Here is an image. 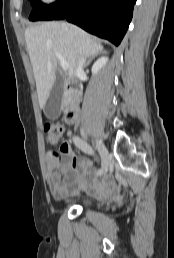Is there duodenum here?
Returning a JSON list of instances; mask_svg holds the SVG:
<instances>
[{
  "instance_id": "410a0bca",
  "label": "duodenum",
  "mask_w": 174,
  "mask_h": 258,
  "mask_svg": "<svg viewBox=\"0 0 174 258\" xmlns=\"http://www.w3.org/2000/svg\"><path fill=\"white\" fill-rule=\"evenodd\" d=\"M66 120L68 123H74L77 119L79 112V97L78 90L73 86H67L66 88Z\"/></svg>"
}]
</instances>
